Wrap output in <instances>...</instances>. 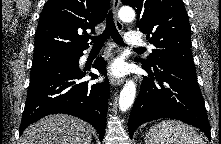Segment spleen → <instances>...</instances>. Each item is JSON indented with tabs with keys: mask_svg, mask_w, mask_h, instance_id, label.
Instances as JSON below:
<instances>
[{
	"mask_svg": "<svg viewBox=\"0 0 221 144\" xmlns=\"http://www.w3.org/2000/svg\"><path fill=\"white\" fill-rule=\"evenodd\" d=\"M146 144H205L193 127L178 120H162L146 134Z\"/></svg>",
	"mask_w": 221,
	"mask_h": 144,
	"instance_id": "spleen-1",
	"label": "spleen"
}]
</instances>
